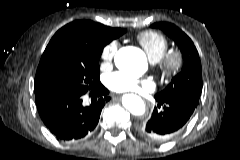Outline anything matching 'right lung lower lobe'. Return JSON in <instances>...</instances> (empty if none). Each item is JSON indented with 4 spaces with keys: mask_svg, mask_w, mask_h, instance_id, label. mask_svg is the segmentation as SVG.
I'll return each mask as SVG.
<instances>
[{
    "mask_svg": "<svg viewBox=\"0 0 240 160\" xmlns=\"http://www.w3.org/2000/svg\"><path fill=\"white\" fill-rule=\"evenodd\" d=\"M88 93L92 97L88 106L83 104L84 94L50 90L35 96L42 121L57 139L79 140L95 129L101 110L110 97L101 83Z\"/></svg>",
    "mask_w": 240,
    "mask_h": 160,
    "instance_id": "1",
    "label": "right lung lower lobe"
}]
</instances>
